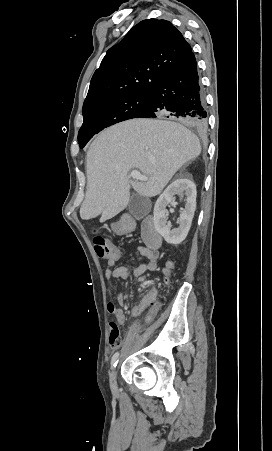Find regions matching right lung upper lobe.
<instances>
[{"instance_id":"obj_1","label":"right lung upper lobe","mask_w":272,"mask_h":451,"mask_svg":"<svg viewBox=\"0 0 272 451\" xmlns=\"http://www.w3.org/2000/svg\"><path fill=\"white\" fill-rule=\"evenodd\" d=\"M193 54L169 21H141L107 51L91 79L83 111L110 99L150 94Z\"/></svg>"}]
</instances>
